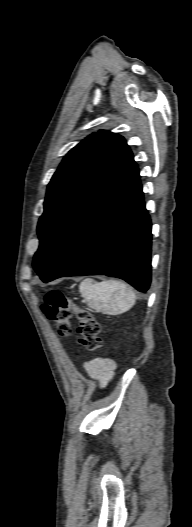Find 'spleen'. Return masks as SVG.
<instances>
[{
    "instance_id": "obj_1",
    "label": "spleen",
    "mask_w": 192,
    "mask_h": 527,
    "mask_svg": "<svg viewBox=\"0 0 192 527\" xmlns=\"http://www.w3.org/2000/svg\"><path fill=\"white\" fill-rule=\"evenodd\" d=\"M79 290L91 308L111 314L128 311L136 301L134 290L129 285L116 280L97 283L93 279L86 278L80 283Z\"/></svg>"
}]
</instances>
